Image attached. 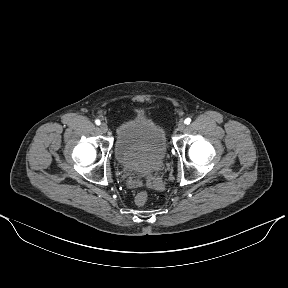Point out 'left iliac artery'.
<instances>
[{
  "instance_id": "left-iliac-artery-1",
  "label": "left iliac artery",
  "mask_w": 288,
  "mask_h": 288,
  "mask_svg": "<svg viewBox=\"0 0 288 288\" xmlns=\"http://www.w3.org/2000/svg\"><path fill=\"white\" fill-rule=\"evenodd\" d=\"M184 122H185V124H187V125H188V124H190V122H191V119H190V118H186Z\"/></svg>"
}]
</instances>
